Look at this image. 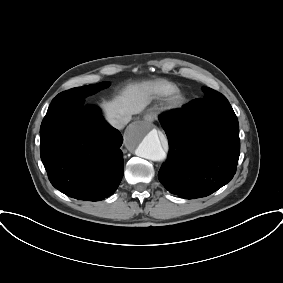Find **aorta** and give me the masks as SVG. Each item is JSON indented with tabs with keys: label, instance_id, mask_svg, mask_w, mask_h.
<instances>
[{
	"label": "aorta",
	"instance_id": "aorta-1",
	"mask_svg": "<svg viewBox=\"0 0 283 283\" xmlns=\"http://www.w3.org/2000/svg\"><path fill=\"white\" fill-rule=\"evenodd\" d=\"M125 144L142 158L152 161L166 159L159 132L149 123L138 122L131 125L125 134Z\"/></svg>",
	"mask_w": 283,
	"mask_h": 283
}]
</instances>
